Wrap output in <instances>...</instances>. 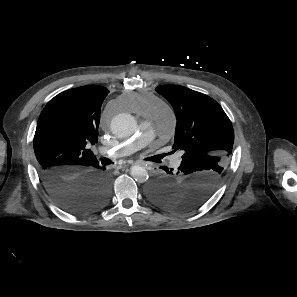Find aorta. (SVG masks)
<instances>
[{"label": "aorta", "mask_w": 297, "mask_h": 297, "mask_svg": "<svg viewBox=\"0 0 297 297\" xmlns=\"http://www.w3.org/2000/svg\"><path fill=\"white\" fill-rule=\"evenodd\" d=\"M111 130L118 137H129L136 130V121L130 114H118L111 121ZM130 174L139 183H144L148 180L147 170L141 166H132Z\"/></svg>", "instance_id": "762f6f07"}]
</instances>
